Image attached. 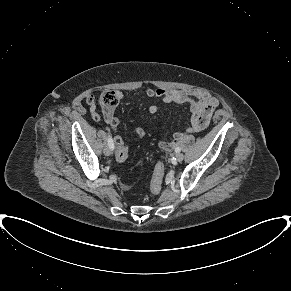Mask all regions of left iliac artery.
I'll list each match as a JSON object with an SVG mask.
<instances>
[{
	"instance_id": "obj_1",
	"label": "left iliac artery",
	"mask_w": 291,
	"mask_h": 291,
	"mask_svg": "<svg viewBox=\"0 0 291 291\" xmlns=\"http://www.w3.org/2000/svg\"><path fill=\"white\" fill-rule=\"evenodd\" d=\"M181 151L180 147L175 148V152L179 153Z\"/></svg>"
}]
</instances>
